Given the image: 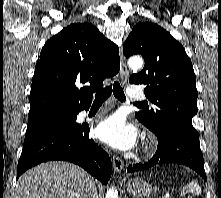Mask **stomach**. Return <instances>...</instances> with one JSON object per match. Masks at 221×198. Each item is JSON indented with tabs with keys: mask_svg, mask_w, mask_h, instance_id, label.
Here are the masks:
<instances>
[{
	"mask_svg": "<svg viewBox=\"0 0 221 198\" xmlns=\"http://www.w3.org/2000/svg\"><path fill=\"white\" fill-rule=\"evenodd\" d=\"M127 191L134 198H139L151 195L153 192V188L148 182L140 178H135L128 182Z\"/></svg>",
	"mask_w": 221,
	"mask_h": 198,
	"instance_id": "stomach-1",
	"label": "stomach"
}]
</instances>
